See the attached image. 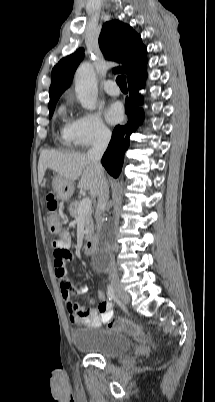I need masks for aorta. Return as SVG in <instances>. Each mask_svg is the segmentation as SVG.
I'll return each mask as SVG.
<instances>
[{
	"label": "aorta",
	"instance_id": "obj_1",
	"mask_svg": "<svg viewBox=\"0 0 215 402\" xmlns=\"http://www.w3.org/2000/svg\"><path fill=\"white\" fill-rule=\"evenodd\" d=\"M75 92L81 106L87 110H94L98 99V87L95 70L92 64L82 63L75 73ZM107 255L104 245L100 246L97 257Z\"/></svg>",
	"mask_w": 215,
	"mask_h": 402
}]
</instances>
